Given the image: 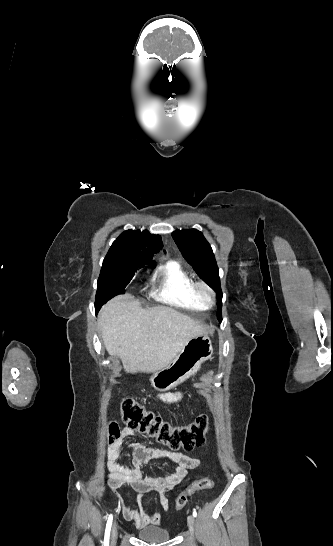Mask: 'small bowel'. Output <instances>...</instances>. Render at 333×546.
<instances>
[{"label":"small bowel","mask_w":333,"mask_h":546,"mask_svg":"<svg viewBox=\"0 0 333 546\" xmlns=\"http://www.w3.org/2000/svg\"><path fill=\"white\" fill-rule=\"evenodd\" d=\"M158 399L166 404H175L184 397L182 391L162 393L157 395ZM132 452L133 458L129 466L118 463L122 446ZM152 460H164L174 464L176 467L169 474L149 476L143 472L146 463ZM200 464V460L189 455L172 452L169 450L146 447L134 439V431L124 427L120 437L107 449L106 467L109 471V488L116 491L118 488L128 486L136 491V507L124 502L119 495H116L122 504V514L125 520L133 521L138 528L148 525H159L162 522V515L159 512H146L143 507V499L147 493H156L160 504L165 511L169 510L167 498L168 490L180 483L187 475L189 469Z\"/></svg>","instance_id":"1"}]
</instances>
